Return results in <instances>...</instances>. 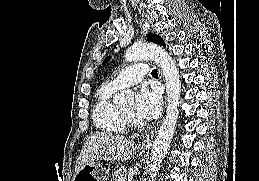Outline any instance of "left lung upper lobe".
Returning <instances> with one entry per match:
<instances>
[{
  "label": "left lung upper lobe",
  "instance_id": "1",
  "mask_svg": "<svg viewBox=\"0 0 259 181\" xmlns=\"http://www.w3.org/2000/svg\"><path fill=\"white\" fill-rule=\"evenodd\" d=\"M147 38H148L150 41H152V42H154V43H156V44H159V45H161V46H165V43H164L163 39H162L159 35L149 33V34L147 35ZM109 60H110V56L107 57V58L104 60V63L107 62V61H109Z\"/></svg>",
  "mask_w": 259,
  "mask_h": 181
}]
</instances>
